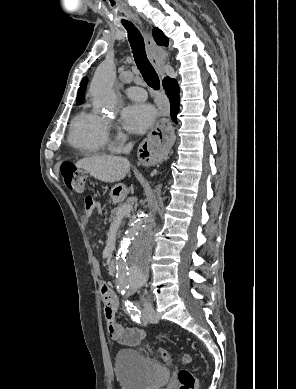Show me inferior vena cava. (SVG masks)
Wrapping results in <instances>:
<instances>
[{
	"label": "inferior vena cava",
	"mask_w": 296,
	"mask_h": 389,
	"mask_svg": "<svg viewBox=\"0 0 296 389\" xmlns=\"http://www.w3.org/2000/svg\"><path fill=\"white\" fill-rule=\"evenodd\" d=\"M132 143H129L128 145H126V147H125V149H124V152L125 153H129L130 152V150H131V148H132Z\"/></svg>",
	"instance_id": "inferior-vena-cava-1"
}]
</instances>
